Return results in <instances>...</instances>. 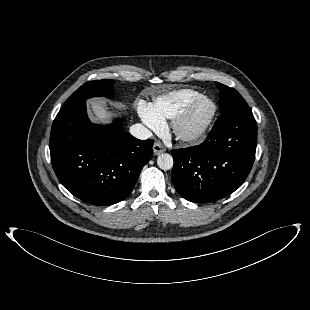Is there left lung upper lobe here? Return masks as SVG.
<instances>
[{
    "label": "left lung upper lobe",
    "instance_id": "obj_1",
    "mask_svg": "<svg viewBox=\"0 0 310 310\" xmlns=\"http://www.w3.org/2000/svg\"><path fill=\"white\" fill-rule=\"evenodd\" d=\"M219 92V108L221 111L217 121L239 114L249 107L243 97L234 88L215 82Z\"/></svg>",
    "mask_w": 310,
    "mask_h": 310
}]
</instances>
